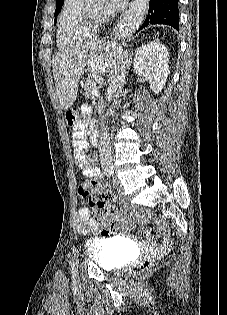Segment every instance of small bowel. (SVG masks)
Listing matches in <instances>:
<instances>
[{
	"mask_svg": "<svg viewBox=\"0 0 227 315\" xmlns=\"http://www.w3.org/2000/svg\"><path fill=\"white\" fill-rule=\"evenodd\" d=\"M85 123L81 122L78 124L73 133V155L75 159L76 166L81 170L84 177L90 179V183L93 186L105 187L106 185L102 182V175L96 167L90 164V161L85 153V149L88 146L87 140L85 138ZM113 208V213L111 215L112 221H122L126 217L128 212V207L124 201H120L118 206L113 204V199L111 202ZM98 221L94 220L91 211L88 207H82L78 210L76 215V228L82 234H89L97 231L99 229ZM147 235L150 236L148 230ZM158 232L166 236L161 242L154 243L153 246L156 250H164L170 244V238L168 236V228L165 225H160L158 227Z\"/></svg>",
	"mask_w": 227,
	"mask_h": 315,
	"instance_id": "small-bowel-1",
	"label": "small bowel"
}]
</instances>
